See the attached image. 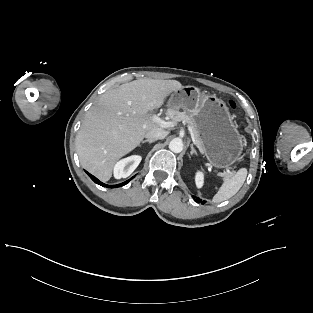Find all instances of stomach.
I'll return each instance as SVG.
<instances>
[{"instance_id": "stomach-1", "label": "stomach", "mask_w": 313, "mask_h": 313, "mask_svg": "<svg viewBox=\"0 0 313 313\" xmlns=\"http://www.w3.org/2000/svg\"><path fill=\"white\" fill-rule=\"evenodd\" d=\"M180 109L193 117L203 152L212 166L227 168L238 159L244 139L222 100L188 85L172 92L168 100L170 115Z\"/></svg>"}]
</instances>
